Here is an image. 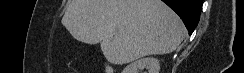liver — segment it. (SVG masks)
Instances as JSON below:
<instances>
[{
	"label": "liver",
	"mask_w": 244,
	"mask_h": 73,
	"mask_svg": "<svg viewBox=\"0 0 244 73\" xmlns=\"http://www.w3.org/2000/svg\"><path fill=\"white\" fill-rule=\"evenodd\" d=\"M62 24L78 41L100 42L116 65L169 54L186 35L179 16L161 0H70Z\"/></svg>",
	"instance_id": "6515ba94"
}]
</instances>
